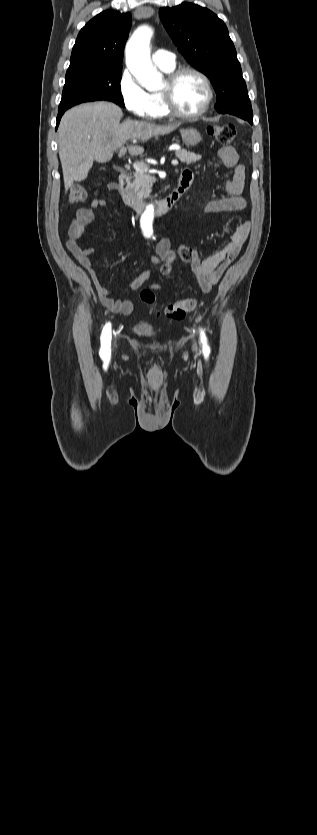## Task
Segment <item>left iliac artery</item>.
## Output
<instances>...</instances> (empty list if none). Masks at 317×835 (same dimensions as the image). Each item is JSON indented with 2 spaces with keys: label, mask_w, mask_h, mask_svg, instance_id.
Returning a JSON list of instances; mask_svg holds the SVG:
<instances>
[{
  "label": "left iliac artery",
  "mask_w": 317,
  "mask_h": 835,
  "mask_svg": "<svg viewBox=\"0 0 317 835\" xmlns=\"http://www.w3.org/2000/svg\"><path fill=\"white\" fill-rule=\"evenodd\" d=\"M200 338H201V343L203 345L202 346L203 353H204L205 357H208L209 354H210V348L207 344V338H206L205 332L203 330L200 331Z\"/></svg>",
  "instance_id": "1"
}]
</instances>
